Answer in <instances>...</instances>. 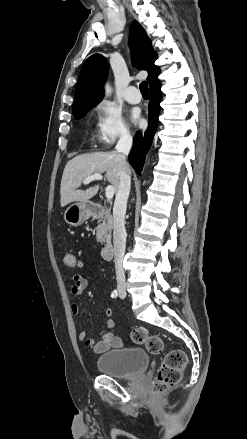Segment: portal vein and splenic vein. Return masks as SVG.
<instances>
[{
    "instance_id": "18ae733b",
    "label": "portal vein and splenic vein",
    "mask_w": 247,
    "mask_h": 439,
    "mask_svg": "<svg viewBox=\"0 0 247 439\" xmlns=\"http://www.w3.org/2000/svg\"><path fill=\"white\" fill-rule=\"evenodd\" d=\"M103 176L101 174H93L86 179L83 180V184H89L94 180H102ZM106 198L109 200L114 196V187L112 185H108L105 189Z\"/></svg>"
}]
</instances>
